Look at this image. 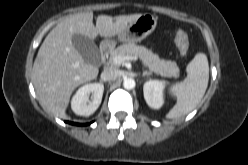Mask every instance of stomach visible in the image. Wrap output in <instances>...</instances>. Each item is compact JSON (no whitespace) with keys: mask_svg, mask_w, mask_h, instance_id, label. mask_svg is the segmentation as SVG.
Returning a JSON list of instances; mask_svg holds the SVG:
<instances>
[{"mask_svg":"<svg viewBox=\"0 0 248 165\" xmlns=\"http://www.w3.org/2000/svg\"><path fill=\"white\" fill-rule=\"evenodd\" d=\"M157 25V19L152 14H143L120 32L118 40L124 43H136L150 35Z\"/></svg>","mask_w":248,"mask_h":165,"instance_id":"1","label":"stomach"}]
</instances>
